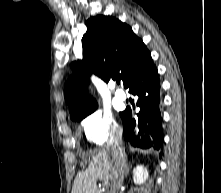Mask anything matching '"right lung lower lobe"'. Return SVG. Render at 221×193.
<instances>
[{
    "label": "right lung lower lobe",
    "instance_id": "1",
    "mask_svg": "<svg viewBox=\"0 0 221 193\" xmlns=\"http://www.w3.org/2000/svg\"><path fill=\"white\" fill-rule=\"evenodd\" d=\"M127 88L131 94L137 96L139 112L137 117H133L130 108L122 112L124 138L134 147L159 150L163 146L159 110L160 81L152 59L132 76Z\"/></svg>",
    "mask_w": 221,
    "mask_h": 193
}]
</instances>
